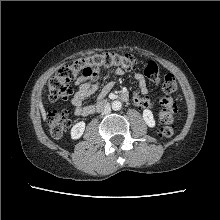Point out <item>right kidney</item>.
<instances>
[{
	"label": "right kidney",
	"mask_w": 220,
	"mask_h": 220,
	"mask_svg": "<svg viewBox=\"0 0 220 220\" xmlns=\"http://www.w3.org/2000/svg\"><path fill=\"white\" fill-rule=\"evenodd\" d=\"M84 130H85V122L81 121L76 123L71 129L70 132L71 138L73 140L79 139L83 135Z\"/></svg>",
	"instance_id": "right-kidney-1"
}]
</instances>
